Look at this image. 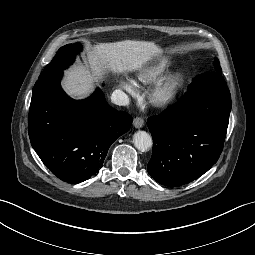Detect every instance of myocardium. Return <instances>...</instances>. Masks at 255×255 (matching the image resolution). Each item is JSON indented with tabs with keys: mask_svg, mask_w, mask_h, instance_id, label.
<instances>
[{
	"mask_svg": "<svg viewBox=\"0 0 255 255\" xmlns=\"http://www.w3.org/2000/svg\"><path fill=\"white\" fill-rule=\"evenodd\" d=\"M184 78L178 72L169 73L157 81L148 93V102L153 107L162 108L170 105L177 98Z\"/></svg>",
	"mask_w": 255,
	"mask_h": 255,
	"instance_id": "obj_1",
	"label": "myocardium"
}]
</instances>
